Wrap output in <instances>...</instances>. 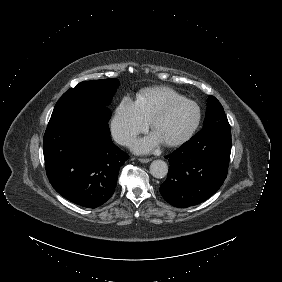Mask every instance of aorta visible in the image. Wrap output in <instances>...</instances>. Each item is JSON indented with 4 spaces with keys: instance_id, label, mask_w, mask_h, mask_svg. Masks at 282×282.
<instances>
[{
    "instance_id": "aorta-1",
    "label": "aorta",
    "mask_w": 282,
    "mask_h": 282,
    "mask_svg": "<svg viewBox=\"0 0 282 282\" xmlns=\"http://www.w3.org/2000/svg\"><path fill=\"white\" fill-rule=\"evenodd\" d=\"M150 173L155 178H164L168 173V165L163 160H154L150 165Z\"/></svg>"
}]
</instances>
